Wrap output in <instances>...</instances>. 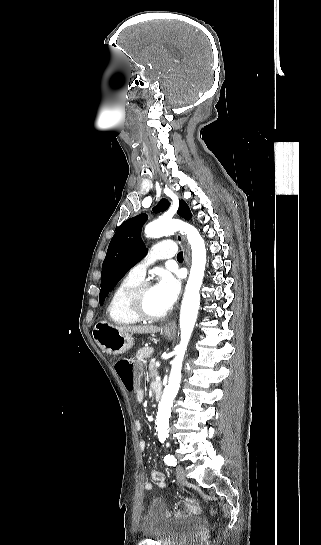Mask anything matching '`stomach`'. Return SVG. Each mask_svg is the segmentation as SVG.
Instances as JSON below:
<instances>
[{"instance_id": "0dacf381", "label": "stomach", "mask_w": 321, "mask_h": 545, "mask_svg": "<svg viewBox=\"0 0 321 545\" xmlns=\"http://www.w3.org/2000/svg\"><path fill=\"white\" fill-rule=\"evenodd\" d=\"M164 335L171 337L172 329H163ZM93 339L98 347L109 355H121L130 351L134 345L131 333H120L114 325L107 321H98L93 329Z\"/></svg>"}]
</instances>
